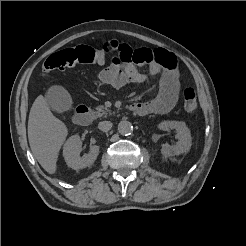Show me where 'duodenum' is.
<instances>
[{"instance_id": "obj_1", "label": "duodenum", "mask_w": 246, "mask_h": 246, "mask_svg": "<svg viewBox=\"0 0 246 246\" xmlns=\"http://www.w3.org/2000/svg\"><path fill=\"white\" fill-rule=\"evenodd\" d=\"M131 110L136 111V106L133 104L130 107ZM91 113L87 106L80 105L76 108L75 114L73 116V121L78 126H86L90 123Z\"/></svg>"}]
</instances>
